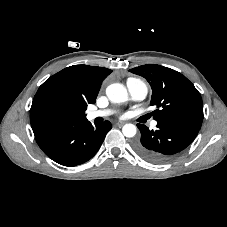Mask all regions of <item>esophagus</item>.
Listing matches in <instances>:
<instances>
[{
    "mask_svg": "<svg viewBox=\"0 0 227 227\" xmlns=\"http://www.w3.org/2000/svg\"><path fill=\"white\" fill-rule=\"evenodd\" d=\"M124 124V122H117L116 125L117 126H122Z\"/></svg>",
    "mask_w": 227,
    "mask_h": 227,
    "instance_id": "34e87169",
    "label": "esophagus"
}]
</instances>
